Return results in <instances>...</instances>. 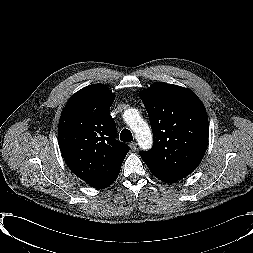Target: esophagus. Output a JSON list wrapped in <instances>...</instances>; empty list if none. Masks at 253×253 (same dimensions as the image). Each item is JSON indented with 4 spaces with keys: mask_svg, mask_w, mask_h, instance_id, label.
<instances>
[{
    "mask_svg": "<svg viewBox=\"0 0 253 253\" xmlns=\"http://www.w3.org/2000/svg\"><path fill=\"white\" fill-rule=\"evenodd\" d=\"M130 149L132 151H136L137 149V143L136 142H131L130 145H129Z\"/></svg>",
    "mask_w": 253,
    "mask_h": 253,
    "instance_id": "34e87169",
    "label": "esophagus"
}]
</instances>
